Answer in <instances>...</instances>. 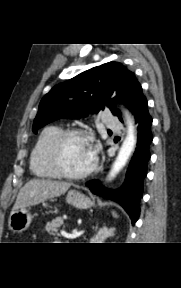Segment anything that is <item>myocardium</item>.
I'll list each match as a JSON object with an SVG mask.
<instances>
[{
    "instance_id": "obj_1",
    "label": "myocardium",
    "mask_w": 181,
    "mask_h": 288,
    "mask_svg": "<svg viewBox=\"0 0 181 288\" xmlns=\"http://www.w3.org/2000/svg\"><path fill=\"white\" fill-rule=\"evenodd\" d=\"M72 137L84 139L88 143L90 142V134L81 129H66L60 131L53 139L49 148V161L52 168L61 176L69 179H83L89 176L97 167V160L93 158V162L88 169L83 172H71L69 171L62 160V149L64 143Z\"/></svg>"
}]
</instances>
